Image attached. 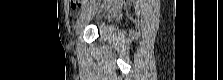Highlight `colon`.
Wrapping results in <instances>:
<instances>
[{
  "label": "colon",
  "instance_id": "colon-1",
  "mask_svg": "<svg viewBox=\"0 0 223 80\" xmlns=\"http://www.w3.org/2000/svg\"><path fill=\"white\" fill-rule=\"evenodd\" d=\"M84 3V0H70V6L72 9H78L80 8ZM113 3H116V1H113Z\"/></svg>",
  "mask_w": 223,
  "mask_h": 80
}]
</instances>
